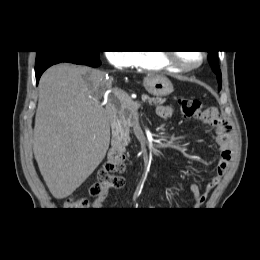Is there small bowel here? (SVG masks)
Listing matches in <instances>:
<instances>
[{
  "label": "small bowel",
  "mask_w": 260,
  "mask_h": 260,
  "mask_svg": "<svg viewBox=\"0 0 260 260\" xmlns=\"http://www.w3.org/2000/svg\"><path fill=\"white\" fill-rule=\"evenodd\" d=\"M157 115L163 119H169L173 116L174 109L171 105H161L157 107ZM204 123L212 126L216 134V142L219 146L220 159L215 168V173L211 180L205 186L204 191L193 183L190 185V190L193 194L192 208H199L207 199L208 194L218 185L227 168L229 167L232 155V137L231 126L215 111L206 110L205 113L199 117ZM108 197V191L105 195L97 197L92 202V207L95 210L103 208L104 202Z\"/></svg>",
  "instance_id": "obj_1"
}]
</instances>
